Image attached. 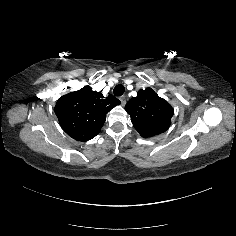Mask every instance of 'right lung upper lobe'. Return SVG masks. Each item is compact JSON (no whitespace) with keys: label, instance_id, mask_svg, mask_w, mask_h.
Returning a JSON list of instances; mask_svg holds the SVG:
<instances>
[{"label":"right lung upper lobe","instance_id":"1","mask_svg":"<svg viewBox=\"0 0 236 236\" xmlns=\"http://www.w3.org/2000/svg\"><path fill=\"white\" fill-rule=\"evenodd\" d=\"M112 95L103 97L88 86L59 98L55 114L63 130L77 141H88L101 130L106 114L119 105Z\"/></svg>","mask_w":236,"mask_h":236}]
</instances>
